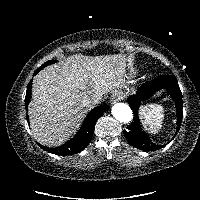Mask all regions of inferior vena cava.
Masks as SVG:
<instances>
[{
	"instance_id": "1",
	"label": "inferior vena cava",
	"mask_w": 200,
	"mask_h": 200,
	"mask_svg": "<svg viewBox=\"0 0 200 200\" xmlns=\"http://www.w3.org/2000/svg\"><path fill=\"white\" fill-rule=\"evenodd\" d=\"M97 101H98L97 98H92V97H89V96H84L83 99H82V104L85 107H89V106L97 103Z\"/></svg>"
}]
</instances>
